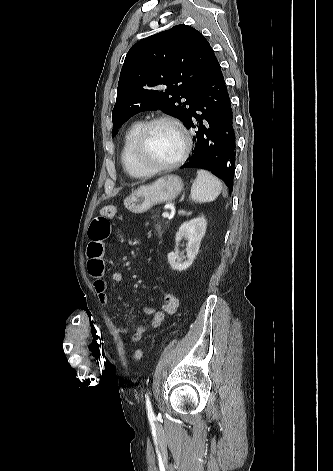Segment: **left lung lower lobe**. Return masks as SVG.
<instances>
[{
  "instance_id": "obj_1",
  "label": "left lung lower lobe",
  "mask_w": 333,
  "mask_h": 471,
  "mask_svg": "<svg viewBox=\"0 0 333 471\" xmlns=\"http://www.w3.org/2000/svg\"><path fill=\"white\" fill-rule=\"evenodd\" d=\"M186 127L192 129L195 145L190 160L181 168L207 169L221 178L231 191L236 131L230 97L217 59L197 93L194 114Z\"/></svg>"
}]
</instances>
